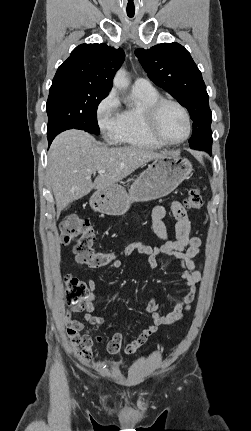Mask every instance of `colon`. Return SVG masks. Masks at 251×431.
<instances>
[{
  "mask_svg": "<svg viewBox=\"0 0 251 431\" xmlns=\"http://www.w3.org/2000/svg\"><path fill=\"white\" fill-rule=\"evenodd\" d=\"M184 203L188 209H200L203 203L200 190L190 189ZM60 237L62 244H73V253L79 263L100 268L111 264L114 260L112 253L95 249V231L90 221L85 218L77 215L66 217L60 225ZM87 295L88 288L84 282L71 275L66 276L65 297L68 304L82 306Z\"/></svg>",
  "mask_w": 251,
  "mask_h": 431,
  "instance_id": "1",
  "label": "colon"
}]
</instances>
